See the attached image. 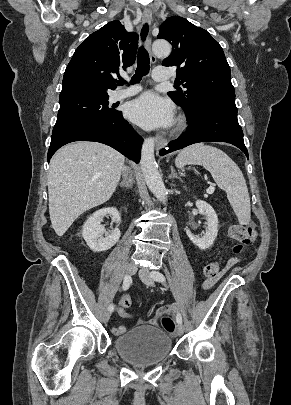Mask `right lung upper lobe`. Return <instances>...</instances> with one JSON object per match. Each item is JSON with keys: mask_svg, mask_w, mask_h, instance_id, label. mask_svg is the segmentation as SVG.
I'll return each mask as SVG.
<instances>
[{"mask_svg": "<svg viewBox=\"0 0 291 405\" xmlns=\"http://www.w3.org/2000/svg\"><path fill=\"white\" fill-rule=\"evenodd\" d=\"M138 35L114 20L92 33L75 50L66 67L59 101L109 97L114 75L135 62Z\"/></svg>", "mask_w": 291, "mask_h": 405, "instance_id": "obj_1", "label": "right lung upper lobe"}]
</instances>
